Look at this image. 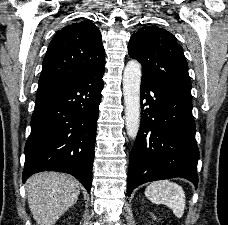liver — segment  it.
Instances as JSON below:
<instances>
[{"label":"liver","instance_id":"1","mask_svg":"<svg viewBox=\"0 0 228 225\" xmlns=\"http://www.w3.org/2000/svg\"><path fill=\"white\" fill-rule=\"evenodd\" d=\"M25 187L37 225H55L80 195L79 181L64 173H37L26 181Z\"/></svg>","mask_w":228,"mask_h":225}]
</instances>
